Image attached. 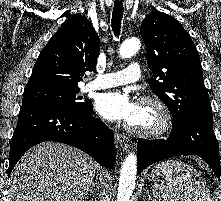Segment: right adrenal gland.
Instances as JSON below:
<instances>
[{
  "mask_svg": "<svg viewBox=\"0 0 221 201\" xmlns=\"http://www.w3.org/2000/svg\"><path fill=\"white\" fill-rule=\"evenodd\" d=\"M95 190V183L92 184V186L90 187V189L86 192V194L82 197L85 198L86 196H88V193H94ZM81 198V199H82ZM81 201V200H80Z\"/></svg>",
  "mask_w": 221,
  "mask_h": 201,
  "instance_id": "2a0ac1e0",
  "label": "right adrenal gland"
}]
</instances>
